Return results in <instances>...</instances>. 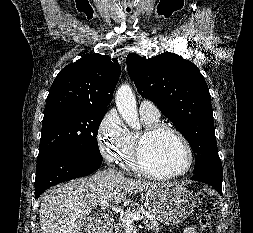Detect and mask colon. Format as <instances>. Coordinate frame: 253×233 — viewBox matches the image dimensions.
I'll return each mask as SVG.
<instances>
[{
	"mask_svg": "<svg viewBox=\"0 0 253 233\" xmlns=\"http://www.w3.org/2000/svg\"><path fill=\"white\" fill-rule=\"evenodd\" d=\"M197 199L200 202H204L205 196L203 193H198L197 194ZM199 233H212V227L210 224V218L209 214L207 212H202L199 215Z\"/></svg>",
	"mask_w": 253,
	"mask_h": 233,
	"instance_id": "colon-1",
	"label": "colon"
}]
</instances>
